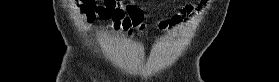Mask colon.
Masks as SVG:
<instances>
[{
  "mask_svg": "<svg viewBox=\"0 0 279 82\" xmlns=\"http://www.w3.org/2000/svg\"><path fill=\"white\" fill-rule=\"evenodd\" d=\"M142 11L139 8L131 7L127 10L124 21L131 27H139L142 23Z\"/></svg>",
  "mask_w": 279,
  "mask_h": 82,
  "instance_id": "obj_1",
  "label": "colon"
}]
</instances>
